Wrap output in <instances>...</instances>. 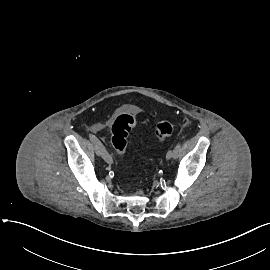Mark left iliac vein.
Here are the masks:
<instances>
[{
  "mask_svg": "<svg viewBox=\"0 0 270 270\" xmlns=\"http://www.w3.org/2000/svg\"><path fill=\"white\" fill-rule=\"evenodd\" d=\"M173 151H174V150H169V151L167 152V154H166V159H167V160H169V159H171V158L173 157Z\"/></svg>",
  "mask_w": 270,
  "mask_h": 270,
  "instance_id": "1",
  "label": "left iliac vein"
}]
</instances>
